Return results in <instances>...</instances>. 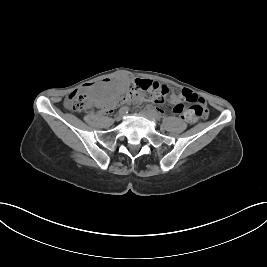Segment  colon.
<instances>
[{
    "mask_svg": "<svg viewBox=\"0 0 267 267\" xmlns=\"http://www.w3.org/2000/svg\"><path fill=\"white\" fill-rule=\"evenodd\" d=\"M169 90L166 86L160 85L148 79H136L131 82L126 90L116 95L105 105L107 111L112 110L119 101L136 100L140 96L141 99L151 100L157 103L164 102ZM183 101L189 103L191 107L185 109L181 105L173 108V112L182 118L198 120L208 116V109L203 98L199 97L190 89H183L181 92ZM65 106L72 111H83L89 106V99L81 92L74 91L65 99Z\"/></svg>",
    "mask_w": 267,
    "mask_h": 267,
    "instance_id": "colon-1",
    "label": "colon"
}]
</instances>
